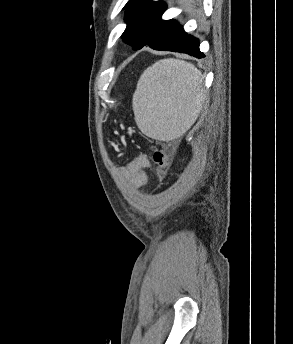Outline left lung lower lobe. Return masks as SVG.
<instances>
[{
    "instance_id": "0a47b994",
    "label": "left lung lower lobe",
    "mask_w": 293,
    "mask_h": 344,
    "mask_svg": "<svg viewBox=\"0 0 293 344\" xmlns=\"http://www.w3.org/2000/svg\"><path fill=\"white\" fill-rule=\"evenodd\" d=\"M150 47L156 50L187 53L196 58L204 57V54L199 50V40L188 35L182 26L168 42Z\"/></svg>"
}]
</instances>
